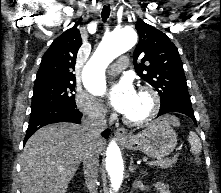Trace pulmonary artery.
Returning a JSON list of instances; mask_svg holds the SVG:
<instances>
[{
    "label": "pulmonary artery",
    "mask_w": 221,
    "mask_h": 193,
    "mask_svg": "<svg viewBox=\"0 0 221 193\" xmlns=\"http://www.w3.org/2000/svg\"><path fill=\"white\" fill-rule=\"evenodd\" d=\"M128 65L127 57H121L115 64L109 66L108 73L110 75H116L120 73V71L126 68Z\"/></svg>",
    "instance_id": "obj_1"
}]
</instances>
